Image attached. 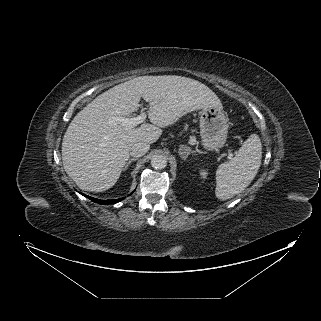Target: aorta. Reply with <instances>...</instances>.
Wrapping results in <instances>:
<instances>
[{"label":"aorta","mask_w":321,"mask_h":321,"mask_svg":"<svg viewBox=\"0 0 321 321\" xmlns=\"http://www.w3.org/2000/svg\"><path fill=\"white\" fill-rule=\"evenodd\" d=\"M151 166L155 169H164L167 166V160L163 155H155L151 159Z\"/></svg>","instance_id":"762f6f07"}]
</instances>
